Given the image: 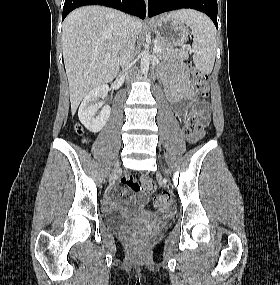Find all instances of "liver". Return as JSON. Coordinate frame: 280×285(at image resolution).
Instances as JSON below:
<instances>
[{"label": "liver", "instance_id": "liver-1", "mask_svg": "<svg viewBox=\"0 0 280 285\" xmlns=\"http://www.w3.org/2000/svg\"><path fill=\"white\" fill-rule=\"evenodd\" d=\"M125 18L120 11L86 6L72 11L64 20L62 50L72 115L90 90L117 76ZM132 19L137 36L142 22Z\"/></svg>", "mask_w": 280, "mask_h": 285}]
</instances>
